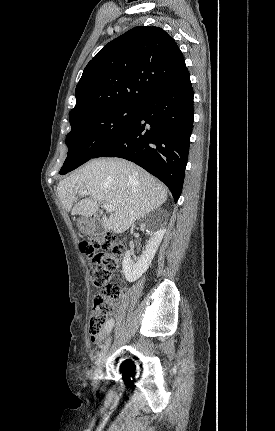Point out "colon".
Wrapping results in <instances>:
<instances>
[{
	"label": "colon",
	"mask_w": 275,
	"mask_h": 431,
	"mask_svg": "<svg viewBox=\"0 0 275 431\" xmlns=\"http://www.w3.org/2000/svg\"><path fill=\"white\" fill-rule=\"evenodd\" d=\"M80 249L90 259L92 284L101 289L93 299L88 328L90 336L97 337L103 333L122 292L121 285L110 280L119 268L125 247L115 235L102 233L81 242Z\"/></svg>",
	"instance_id": "5ec220e1"
}]
</instances>
